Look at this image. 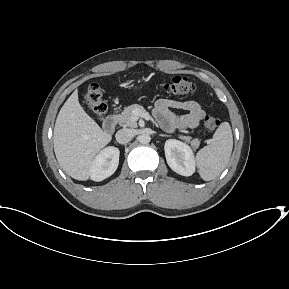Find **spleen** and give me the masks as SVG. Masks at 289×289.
I'll return each mask as SVG.
<instances>
[{"mask_svg": "<svg viewBox=\"0 0 289 289\" xmlns=\"http://www.w3.org/2000/svg\"><path fill=\"white\" fill-rule=\"evenodd\" d=\"M233 149V135L230 124L223 122L215 131L211 144L200 149L196 164L201 178L211 181L227 166Z\"/></svg>", "mask_w": 289, "mask_h": 289, "instance_id": "1", "label": "spleen"}]
</instances>
